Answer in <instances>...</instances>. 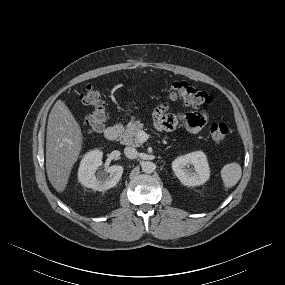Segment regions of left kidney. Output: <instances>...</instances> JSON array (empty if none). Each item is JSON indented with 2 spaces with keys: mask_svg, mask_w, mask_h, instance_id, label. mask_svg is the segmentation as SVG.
Returning a JSON list of instances; mask_svg holds the SVG:
<instances>
[{
  "mask_svg": "<svg viewBox=\"0 0 285 285\" xmlns=\"http://www.w3.org/2000/svg\"><path fill=\"white\" fill-rule=\"evenodd\" d=\"M189 165H193V168H189ZM172 169L181 183L186 186L202 185L210 177L207 158L202 151L179 156L172 162Z\"/></svg>",
  "mask_w": 285,
  "mask_h": 285,
  "instance_id": "left-kidney-1",
  "label": "left kidney"
}]
</instances>
